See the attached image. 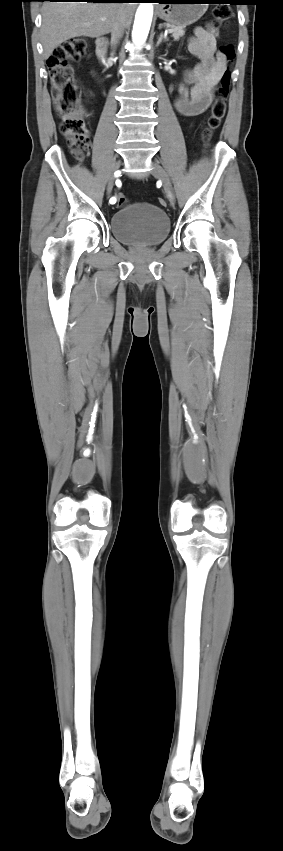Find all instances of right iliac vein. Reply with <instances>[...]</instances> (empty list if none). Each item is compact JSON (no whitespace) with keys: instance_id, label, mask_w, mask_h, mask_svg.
I'll return each instance as SVG.
<instances>
[{"instance_id":"63e3f726","label":"right iliac vein","mask_w":283,"mask_h":851,"mask_svg":"<svg viewBox=\"0 0 283 851\" xmlns=\"http://www.w3.org/2000/svg\"><path fill=\"white\" fill-rule=\"evenodd\" d=\"M119 166H120V163L117 162L116 165H115V169L113 168L112 172L114 173V171L117 170L119 168ZM113 173L111 174V177H110L108 184H107V194L111 193L112 188L114 186L115 174H113Z\"/></svg>"}]
</instances>
